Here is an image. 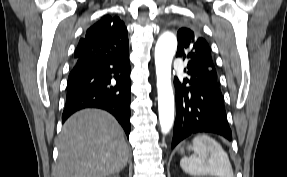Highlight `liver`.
I'll list each match as a JSON object with an SVG mask.
<instances>
[{
	"mask_svg": "<svg viewBox=\"0 0 287 177\" xmlns=\"http://www.w3.org/2000/svg\"><path fill=\"white\" fill-rule=\"evenodd\" d=\"M56 177H106L127 164L124 132L109 113L84 109L63 125L58 141Z\"/></svg>",
	"mask_w": 287,
	"mask_h": 177,
	"instance_id": "obj_1",
	"label": "liver"
}]
</instances>
